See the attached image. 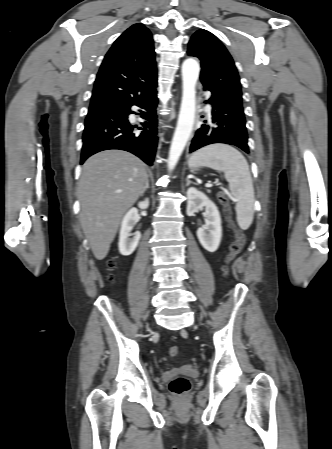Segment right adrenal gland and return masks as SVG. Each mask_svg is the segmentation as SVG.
Listing matches in <instances>:
<instances>
[{"label": "right adrenal gland", "mask_w": 332, "mask_h": 449, "mask_svg": "<svg viewBox=\"0 0 332 449\" xmlns=\"http://www.w3.org/2000/svg\"><path fill=\"white\" fill-rule=\"evenodd\" d=\"M148 188H149V175H147L146 183H145V186H144L143 191H142V193H141V196L144 194V192H145Z\"/></svg>", "instance_id": "2a0ac1e0"}]
</instances>
